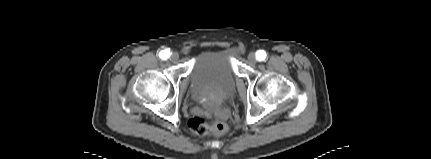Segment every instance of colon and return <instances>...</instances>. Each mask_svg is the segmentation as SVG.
Returning a JSON list of instances; mask_svg holds the SVG:
<instances>
[{
  "mask_svg": "<svg viewBox=\"0 0 431 159\" xmlns=\"http://www.w3.org/2000/svg\"><path fill=\"white\" fill-rule=\"evenodd\" d=\"M190 130L197 135L221 136L227 131V126L223 121L215 119L209 122L202 116H195L189 120Z\"/></svg>",
  "mask_w": 431,
  "mask_h": 159,
  "instance_id": "1",
  "label": "colon"
}]
</instances>
